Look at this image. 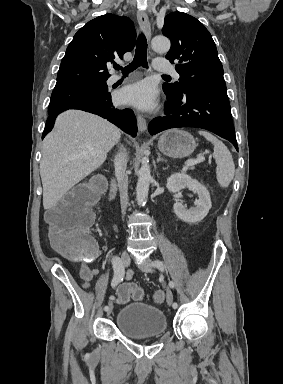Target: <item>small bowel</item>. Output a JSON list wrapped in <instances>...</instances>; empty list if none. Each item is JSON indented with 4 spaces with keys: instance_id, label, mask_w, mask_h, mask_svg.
Masks as SVG:
<instances>
[{
    "instance_id": "1",
    "label": "small bowel",
    "mask_w": 283,
    "mask_h": 384,
    "mask_svg": "<svg viewBox=\"0 0 283 384\" xmlns=\"http://www.w3.org/2000/svg\"><path fill=\"white\" fill-rule=\"evenodd\" d=\"M97 254H98V251H97ZM96 254V256H97ZM79 275L83 281V284L85 287H89L90 285V282L92 281V279L98 274V270L97 269H94V268H91L89 265H88V262L87 261H83L80 266H79ZM132 274L133 272L131 270H128L127 273H126V277L125 279L126 280H130L131 277H132ZM126 284H133V283H126Z\"/></svg>"
}]
</instances>
